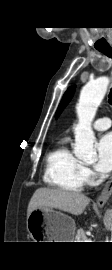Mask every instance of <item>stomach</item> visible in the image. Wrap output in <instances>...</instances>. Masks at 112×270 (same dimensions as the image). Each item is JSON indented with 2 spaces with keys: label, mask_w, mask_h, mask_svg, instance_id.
Here are the masks:
<instances>
[{
  "label": "stomach",
  "mask_w": 112,
  "mask_h": 270,
  "mask_svg": "<svg viewBox=\"0 0 112 270\" xmlns=\"http://www.w3.org/2000/svg\"><path fill=\"white\" fill-rule=\"evenodd\" d=\"M75 221L52 208L34 209L27 217V230L34 242H73Z\"/></svg>",
  "instance_id": "0dacf381"
}]
</instances>
